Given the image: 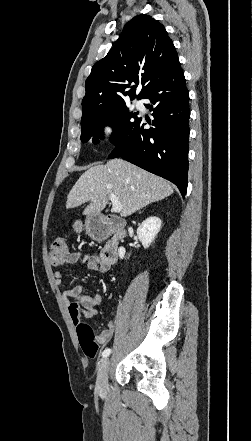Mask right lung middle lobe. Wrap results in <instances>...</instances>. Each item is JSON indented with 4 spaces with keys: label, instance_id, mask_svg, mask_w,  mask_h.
Listing matches in <instances>:
<instances>
[{
    "label": "right lung middle lobe",
    "instance_id": "1",
    "mask_svg": "<svg viewBox=\"0 0 252 441\" xmlns=\"http://www.w3.org/2000/svg\"><path fill=\"white\" fill-rule=\"evenodd\" d=\"M138 120L136 113L129 112L126 105L101 112L81 124V141L87 142L92 138L93 143H98V138L103 135V128L109 125L114 130L111 141L117 145L129 135Z\"/></svg>",
    "mask_w": 252,
    "mask_h": 441
}]
</instances>
